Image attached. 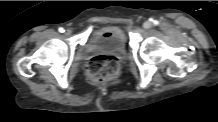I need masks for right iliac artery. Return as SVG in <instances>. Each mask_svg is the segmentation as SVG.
Instances as JSON below:
<instances>
[{"label":"right iliac artery","mask_w":218,"mask_h":122,"mask_svg":"<svg viewBox=\"0 0 218 122\" xmlns=\"http://www.w3.org/2000/svg\"><path fill=\"white\" fill-rule=\"evenodd\" d=\"M58 30H59L60 33L64 32V29L62 27H60Z\"/></svg>","instance_id":"1"}]
</instances>
